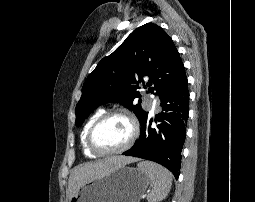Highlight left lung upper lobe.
Segmentation results:
<instances>
[{"label":"left lung upper lobe","mask_w":255,"mask_h":202,"mask_svg":"<svg viewBox=\"0 0 255 202\" xmlns=\"http://www.w3.org/2000/svg\"><path fill=\"white\" fill-rule=\"evenodd\" d=\"M184 75V65L171 38L158 25L144 24L88 75L75 110L76 125H81L94 109L107 102L127 106L142 124L148 112L142 109L141 99L133 103L141 97L139 86L134 84L142 82L144 88L148 87L147 93L161 96ZM146 78H149L147 86Z\"/></svg>","instance_id":"obj_1"}]
</instances>
